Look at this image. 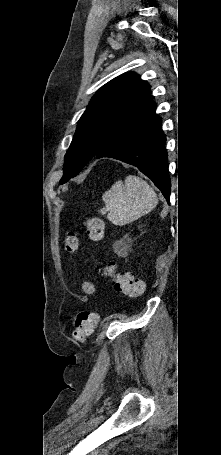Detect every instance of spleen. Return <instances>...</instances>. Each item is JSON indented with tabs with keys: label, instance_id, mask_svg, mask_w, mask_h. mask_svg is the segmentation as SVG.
Instances as JSON below:
<instances>
[{
	"label": "spleen",
	"instance_id": "3e777b00",
	"mask_svg": "<svg viewBox=\"0 0 221 455\" xmlns=\"http://www.w3.org/2000/svg\"><path fill=\"white\" fill-rule=\"evenodd\" d=\"M102 200L105 208L102 214H107L113 224L123 226L151 212L158 198L149 184L135 175H128L124 182L117 181L106 191Z\"/></svg>",
	"mask_w": 221,
	"mask_h": 455
}]
</instances>
